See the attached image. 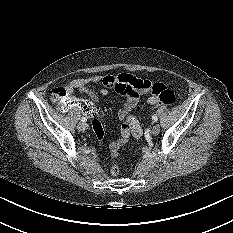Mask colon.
<instances>
[{"label":"colon","instance_id":"colon-1","mask_svg":"<svg viewBox=\"0 0 233 233\" xmlns=\"http://www.w3.org/2000/svg\"><path fill=\"white\" fill-rule=\"evenodd\" d=\"M122 84L123 87L126 88H144L146 87L140 80L130 75H122ZM151 92L155 95V99L153 101L152 106L159 105H172L176 102V95L173 91L167 89L163 84L153 83L149 86ZM52 100L58 104V106L62 109H67L70 106H74L76 108L81 109V111L85 114L93 116L97 113L98 107L97 105L86 97H81L77 94L70 96L64 87H56L52 90ZM90 126L92 128V134L94 140L97 144L102 145L106 142V129L104 127V120L101 117L94 118ZM118 152H112V156L116 157ZM111 172L114 176L118 174V167L114 164L111 168Z\"/></svg>","mask_w":233,"mask_h":233}]
</instances>
